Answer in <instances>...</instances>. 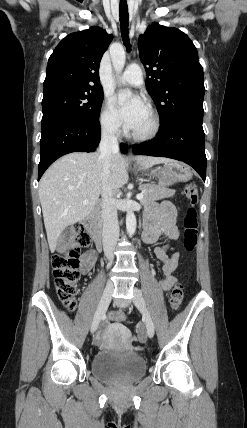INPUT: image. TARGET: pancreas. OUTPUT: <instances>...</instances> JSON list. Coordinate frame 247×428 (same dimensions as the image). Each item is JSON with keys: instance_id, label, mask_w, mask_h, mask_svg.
<instances>
[{"instance_id": "1", "label": "pancreas", "mask_w": 247, "mask_h": 428, "mask_svg": "<svg viewBox=\"0 0 247 428\" xmlns=\"http://www.w3.org/2000/svg\"><path fill=\"white\" fill-rule=\"evenodd\" d=\"M144 197L140 200L141 204L146 206L152 201L170 198L175 194V191L164 186L155 184H142L139 186Z\"/></svg>"}]
</instances>
